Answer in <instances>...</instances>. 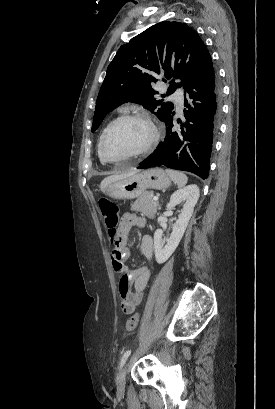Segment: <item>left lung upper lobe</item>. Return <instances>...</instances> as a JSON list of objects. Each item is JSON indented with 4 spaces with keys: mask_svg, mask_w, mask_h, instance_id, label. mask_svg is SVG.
Instances as JSON below:
<instances>
[{
    "mask_svg": "<svg viewBox=\"0 0 275 409\" xmlns=\"http://www.w3.org/2000/svg\"><path fill=\"white\" fill-rule=\"evenodd\" d=\"M212 66L211 55L198 33L181 22H160L122 45L109 64L100 88L92 132L119 105L134 102L165 121L174 109L153 90L156 74L171 79L166 94L185 88ZM179 79L180 83H175ZM166 82L165 79H163Z\"/></svg>",
    "mask_w": 275,
    "mask_h": 409,
    "instance_id": "obj_1",
    "label": "left lung upper lobe"
}]
</instances>
